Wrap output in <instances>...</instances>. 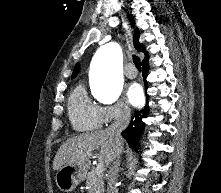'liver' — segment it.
Wrapping results in <instances>:
<instances>
[{
  "label": "liver",
  "mask_w": 221,
  "mask_h": 193,
  "mask_svg": "<svg viewBox=\"0 0 221 193\" xmlns=\"http://www.w3.org/2000/svg\"><path fill=\"white\" fill-rule=\"evenodd\" d=\"M123 145V139L116 141L109 129L69 138L58 149L53 161V169L59 170L67 164L84 166L92 157L94 150H100L99 162L109 165L117 153L122 151Z\"/></svg>",
  "instance_id": "liver-1"
}]
</instances>
